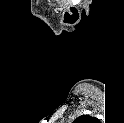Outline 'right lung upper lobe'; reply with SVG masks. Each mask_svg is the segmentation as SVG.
Returning <instances> with one entry per match:
<instances>
[{
	"label": "right lung upper lobe",
	"instance_id": "right-lung-upper-lobe-1",
	"mask_svg": "<svg viewBox=\"0 0 124 123\" xmlns=\"http://www.w3.org/2000/svg\"><path fill=\"white\" fill-rule=\"evenodd\" d=\"M93 119L92 117L88 116V115H82V116H79L75 122H84V121H88V120H91Z\"/></svg>",
	"mask_w": 124,
	"mask_h": 123
}]
</instances>
